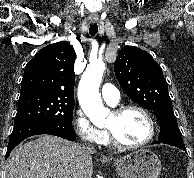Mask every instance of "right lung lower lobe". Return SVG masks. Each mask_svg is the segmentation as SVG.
Listing matches in <instances>:
<instances>
[{
	"label": "right lung lower lobe",
	"instance_id": "right-lung-lower-lobe-1",
	"mask_svg": "<svg viewBox=\"0 0 194 178\" xmlns=\"http://www.w3.org/2000/svg\"><path fill=\"white\" fill-rule=\"evenodd\" d=\"M39 134H50L74 141L76 135L73 128H63L44 122H24L15 124L9 139L6 158L10 152L24 139Z\"/></svg>",
	"mask_w": 194,
	"mask_h": 178
}]
</instances>
